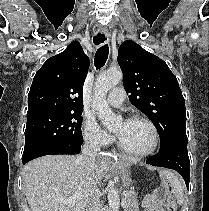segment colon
Returning a JSON list of instances; mask_svg holds the SVG:
<instances>
[{
  "instance_id": "obj_1",
  "label": "colon",
  "mask_w": 209,
  "mask_h": 211,
  "mask_svg": "<svg viewBox=\"0 0 209 211\" xmlns=\"http://www.w3.org/2000/svg\"><path fill=\"white\" fill-rule=\"evenodd\" d=\"M165 190L169 193V197L166 199V208L167 211H176L177 205L173 195V188L169 183L164 184Z\"/></svg>"
}]
</instances>
